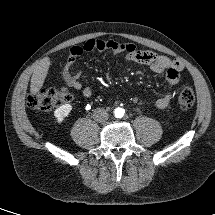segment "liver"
<instances>
[{"label":"liver","instance_id":"6515ba94","mask_svg":"<svg viewBox=\"0 0 215 215\" xmlns=\"http://www.w3.org/2000/svg\"><path fill=\"white\" fill-rule=\"evenodd\" d=\"M50 64V59L48 57H44L35 65L34 72L30 81L31 94H36L42 88Z\"/></svg>","mask_w":215,"mask_h":215}]
</instances>
